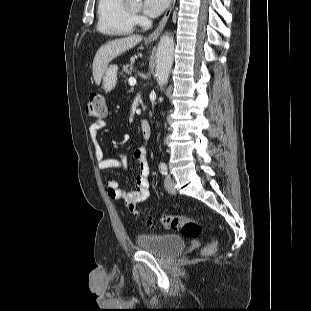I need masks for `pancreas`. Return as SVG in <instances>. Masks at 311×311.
I'll list each match as a JSON object with an SVG mask.
<instances>
[{
  "label": "pancreas",
  "mask_w": 311,
  "mask_h": 311,
  "mask_svg": "<svg viewBox=\"0 0 311 311\" xmlns=\"http://www.w3.org/2000/svg\"><path fill=\"white\" fill-rule=\"evenodd\" d=\"M133 71V65L127 64L122 67L121 75L125 77V75H131Z\"/></svg>",
  "instance_id": "cf45deb5"
}]
</instances>
